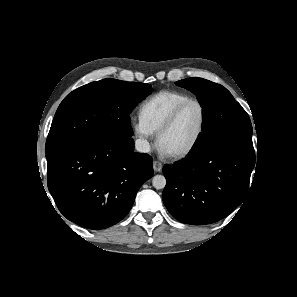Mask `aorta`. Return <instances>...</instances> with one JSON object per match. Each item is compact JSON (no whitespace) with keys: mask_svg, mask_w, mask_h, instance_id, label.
<instances>
[{"mask_svg":"<svg viewBox=\"0 0 297 297\" xmlns=\"http://www.w3.org/2000/svg\"><path fill=\"white\" fill-rule=\"evenodd\" d=\"M152 184L156 189H163L166 186V179L163 175H155Z\"/></svg>","mask_w":297,"mask_h":297,"instance_id":"1","label":"aorta"}]
</instances>
